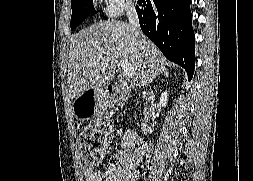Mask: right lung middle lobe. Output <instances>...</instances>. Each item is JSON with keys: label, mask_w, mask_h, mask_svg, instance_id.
<instances>
[{"label": "right lung middle lobe", "mask_w": 253, "mask_h": 181, "mask_svg": "<svg viewBox=\"0 0 253 181\" xmlns=\"http://www.w3.org/2000/svg\"><path fill=\"white\" fill-rule=\"evenodd\" d=\"M71 8V30L75 29L91 13L96 12L92 0H71Z\"/></svg>", "instance_id": "right-lung-middle-lobe-1"}]
</instances>
